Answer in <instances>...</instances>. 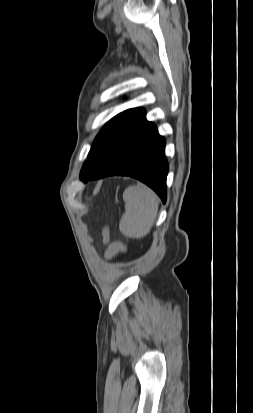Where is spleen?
I'll return each mask as SVG.
<instances>
[{"mask_svg": "<svg viewBox=\"0 0 253 413\" xmlns=\"http://www.w3.org/2000/svg\"><path fill=\"white\" fill-rule=\"evenodd\" d=\"M125 213L119 228L129 238L146 236L154 224L158 213L159 198L145 185H132L123 193Z\"/></svg>", "mask_w": 253, "mask_h": 413, "instance_id": "spleen-1", "label": "spleen"}]
</instances>
